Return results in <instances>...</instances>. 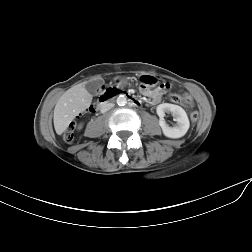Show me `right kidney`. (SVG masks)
Returning a JSON list of instances; mask_svg holds the SVG:
<instances>
[{"label": "right kidney", "instance_id": "1", "mask_svg": "<svg viewBox=\"0 0 252 252\" xmlns=\"http://www.w3.org/2000/svg\"><path fill=\"white\" fill-rule=\"evenodd\" d=\"M82 128V125H79V129H81Z\"/></svg>", "mask_w": 252, "mask_h": 252}]
</instances>
